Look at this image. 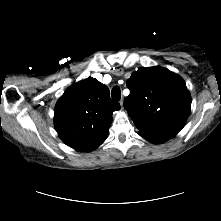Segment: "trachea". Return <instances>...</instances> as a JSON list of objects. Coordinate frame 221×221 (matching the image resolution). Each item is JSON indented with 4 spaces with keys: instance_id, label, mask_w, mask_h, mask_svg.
Segmentation results:
<instances>
[{
    "instance_id": "trachea-1",
    "label": "trachea",
    "mask_w": 221,
    "mask_h": 221,
    "mask_svg": "<svg viewBox=\"0 0 221 221\" xmlns=\"http://www.w3.org/2000/svg\"><path fill=\"white\" fill-rule=\"evenodd\" d=\"M111 96L112 98H114L115 100H120V96H121V91L119 89V87H114L111 91Z\"/></svg>"
}]
</instances>
